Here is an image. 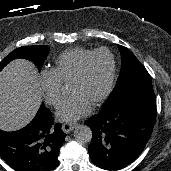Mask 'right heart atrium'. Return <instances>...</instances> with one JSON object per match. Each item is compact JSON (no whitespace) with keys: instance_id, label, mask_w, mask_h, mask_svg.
<instances>
[{"instance_id":"d8ad5b80","label":"right heart atrium","mask_w":171,"mask_h":171,"mask_svg":"<svg viewBox=\"0 0 171 171\" xmlns=\"http://www.w3.org/2000/svg\"><path fill=\"white\" fill-rule=\"evenodd\" d=\"M40 87L47 104L58 105L62 94V83L52 71H43L40 75Z\"/></svg>"}]
</instances>
